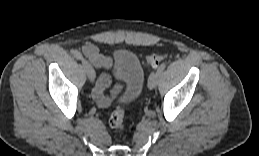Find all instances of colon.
Returning <instances> with one entry per match:
<instances>
[{
	"label": "colon",
	"instance_id": "5ec220e1",
	"mask_svg": "<svg viewBox=\"0 0 259 156\" xmlns=\"http://www.w3.org/2000/svg\"><path fill=\"white\" fill-rule=\"evenodd\" d=\"M164 55H151L146 58V64L151 67H156L164 59ZM110 126L114 129L121 130L124 128V109L118 106L110 116Z\"/></svg>",
	"mask_w": 259,
	"mask_h": 156
}]
</instances>
